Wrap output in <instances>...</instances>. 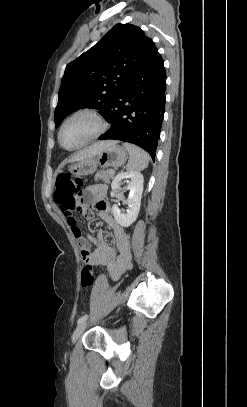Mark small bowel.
<instances>
[{
	"instance_id": "c3829d8e",
	"label": "small bowel",
	"mask_w": 247,
	"mask_h": 407,
	"mask_svg": "<svg viewBox=\"0 0 247 407\" xmlns=\"http://www.w3.org/2000/svg\"><path fill=\"white\" fill-rule=\"evenodd\" d=\"M105 197L106 187L104 185H94L87 189L86 198L95 201L98 216L113 231L114 247L107 243L103 231H99L96 237L82 236L75 213L78 212L87 219L94 216L84 201L75 198L60 203V210L81 249L83 261L90 265L106 266L110 276L116 280L131 268L132 254L128 235L112 215V208ZM92 244L95 245L94 249L91 247Z\"/></svg>"
}]
</instances>
